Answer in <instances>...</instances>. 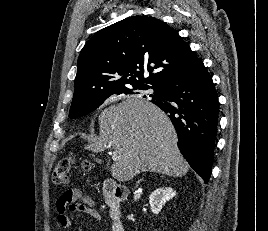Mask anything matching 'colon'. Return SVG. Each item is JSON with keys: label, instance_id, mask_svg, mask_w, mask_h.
Instances as JSON below:
<instances>
[{"label": "colon", "instance_id": "colon-1", "mask_svg": "<svg viewBox=\"0 0 268 231\" xmlns=\"http://www.w3.org/2000/svg\"><path fill=\"white\" fill-rule=\"evenodd\" d=\"M72 159L69 157L63 158L58 161L52 172V182L55 185H66L69 180L70 170H71ZM83 167L89 169L88 163H84Z\"/></svg>", "mask_w": 268, "mask_h": 231}]
</instances>
